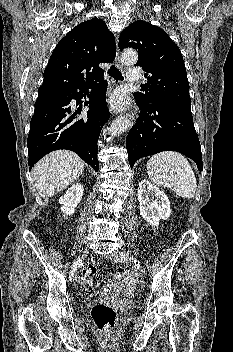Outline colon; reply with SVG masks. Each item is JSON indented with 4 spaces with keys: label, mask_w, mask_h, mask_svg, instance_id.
Wrapping results in <instances>:
<instances>
[{
    "label": "colon",
    "mask_w": 233,
    "mask_h": 352,
    "mask_svg": "<svg viewBox=\"0 0 233 352\" xmlns=\"http://www.w3.org/2000/svg\"><path fill=\"white\" fill-rule=\"evenodd\" d=\"M96 279V270L90 266L84 271L83 289L86 292L93 290ZM91 317L99 330L108 331L116 323V312L113 308L103 303L95 304L91 309Z\"/></svg>",
    "instance_id": "5ec220e1"
}]
</instances>
